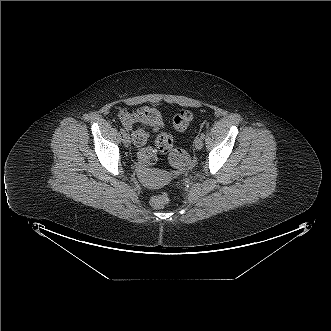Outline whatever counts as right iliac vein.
<instances>
[{
  "mask_svg": "<svg viewBox=\"0 0 331 331\" xmlns=\"http://www.w3.org/2000/svg\"><path fill=\"white\" fill-rule=\"evenodd\" d=\"M123 144L126 146V147H129L130 144H131V140H130V137L128 134H124L123 135Z\"/></svg>",
  "mask_w": 331,
  "mask_h": 331,
  "instance_id": "1",
  "label": "right iliac vein"
}]
</instances>
